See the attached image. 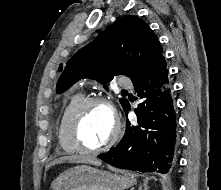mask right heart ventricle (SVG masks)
Instances as JSON below:
<instances>
[{
	"mask_svg": "<svg viewBox=\"0 0 221 190\" xmlns=\"http://www.w3.org/2000/svg\"><path fill=\"white\" fill-rule=\"evenodd\" d=\"M86 99L84 92L72 94L64 104L57 124V138L61 150L65 153L78 152L68 134V121L75 108Z\"/></svg>",
	"mask_w": 221,
	"mask_h": 190,
	"instance_id": "1",
	"label": "right heart ventricle"
}]
</instances>
